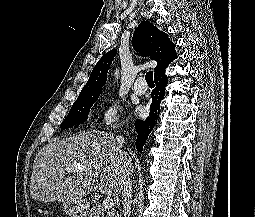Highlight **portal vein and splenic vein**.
Masks as SVG:
<instances>
[{
	"instance_id": "1",
	"label": "portal vein and splenic vein",
	"mask_w": 255,
	"mask_h": 217,
	"mask_svg": "<svg viewBox=\"0 0 255 217\" xmlns=\"http://www.w3.org/2000/svg\"><path fill=\"white\" fill-rule=\"evenodd\" d=\"M67 172L69 173H72V172H76V171H79V170H83L85 171L84 167L81 166L80 164H72V165H69L67 168H66ZM88 173H90L91 175L94 176V173H92L91 171H86ZM113 199L111 197H106L104 198L103 202H102V207L107 210V209H110L113 207Z\"/></svg>"
}]
</instances>
